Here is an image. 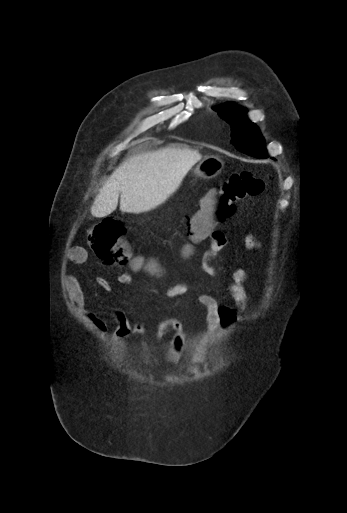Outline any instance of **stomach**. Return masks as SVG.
<instances>
[{
    "instance_id": "1",
    "label": "stomach",
    "mask_w": 347,
    "mask_h": 513,
    "mask_svg": "<svg viewBox=\"0 0 347 513\" xmlns=\"http://www.w3.org/2000/svg\"><path fill=\"white\" fill-rule=\"evenodd\" d=\"M224 163L216 156H208L194 169V173L205 179H210L217 176L223 169Z\"/></svg>"
}]
</instances>
